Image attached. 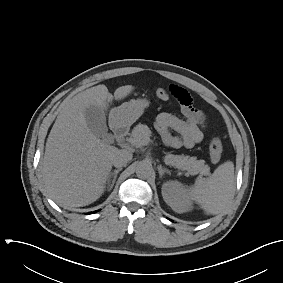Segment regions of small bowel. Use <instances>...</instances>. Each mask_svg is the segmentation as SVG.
I'll list each match as a JSON object with an SVG mask.
<instances>
[{
  "instance_id": "small-bowel-1",
  "label": "small bowel",
  "mask_w": 283,
  "mask_h": 283,
  "mask_svg": "<svg viewBox=\"0 0 283 283\" xmlns=\"http://www.w3.org/2000/svg\"><path fill=\"white\" fill-rule=\"evenodd\" d=\"M168 92L178 100L183 118L162 112L156 117L155 127L168 147L192 148L204 137L206 117L193 106V99L186 89L172 84L168 86Z\"/></svg>"
}]
</instances>
